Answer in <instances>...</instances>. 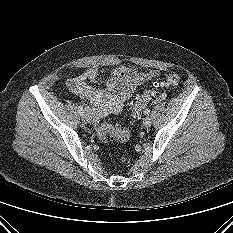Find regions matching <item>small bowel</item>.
I'll use <instances>...</instances> for the list:
<instances>
[{
  "label": "small bowel",
  "instance_id": "c3829d8e",
  "mask_svg": "<svg viewBox=\"0 0 233 233\" xmlns=\"http://www.w3.org/2000/svg\"><path fill=\"white\" fill-rule=\"evenodd\" d=\"M98 75L99 71L90 69L79 76L69 78L66 85L73 94L97 106L98 113L102 115L119 112L137 88L157 77L159 70L143 72L135 67L115 66L102 82L103 89L91 85L98 82Z\"/></svg>",
  "mask_w": 233,
  "mask_h": 233
}]
</instances>
